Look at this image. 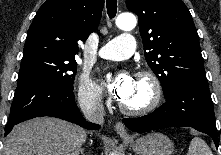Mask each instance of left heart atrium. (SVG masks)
Masks as SVG:
<instances>
[{
	"label": "left heart atrium",
	"mask_w": 221,
	"mask_h": 155,
	"mask_svg": "<svg viewBox=\"0 0 221 155\" xmlns=\"http://www.w3.org/2000/svg\"><path fill=\"white\" fill-rule=\"evenodd\" d=\"M133 82V76L128 71H122L106 83V87L115 98L122 101L131 91Z\"/></svg>",
	"instance_id": "left-heart-atrium-1"
}]
</instances>
